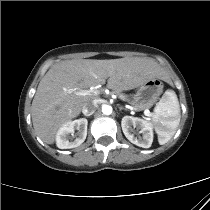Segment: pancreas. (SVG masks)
Segmentation results:
<instances>
[{
  "instance_id": "obj_1",
  "label": "pancreas",
  "mask_w": 210,
  "mask_h": 210,
  "mask_svg": "<svg viewBox=\"0 0 210 210\" xmlns=\"http://www.w3.org/2000/svg\"><path fill=\"white\" fill-rule=\"evenodd\" d=\"M118 95H119L120 99H122L123 101H129L127 95H125V94H120V93H119Z\"/></svg>"
}]
</instances>
